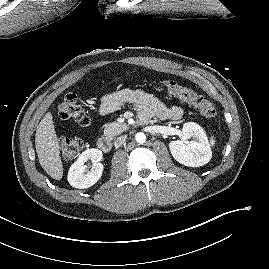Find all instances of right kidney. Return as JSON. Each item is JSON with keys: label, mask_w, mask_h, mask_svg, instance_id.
Here are the masks:
<instances>
[{"label": "right kidney", "mask_w": 269, "mask_h": 269, "mask_svg": "<svg viewBox=\"0 0 269 269\" xmlns=\"http://www.w3.org/2000/svg\"><path fill=\"white\" fill-rule=\"evenodd\" d=\"M102 152L99 149H88L82 152L68 171V182L78 189H85L93 186L102 176L103 165L100 163ZM91 160L92 168L86 171V162Z\"/></svg>", "instance_id": "obj_1"}]
</instances>
